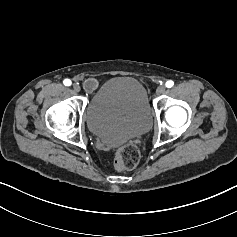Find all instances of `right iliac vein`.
<instances>
[{
    "label": "right iliac vein",
    "instance_id": "right-iliac-vein-1",
    "mask_svg": "<svg viewBox=\"0 0 237 237\" xmlns=\"http://www.w3.org/2000/svg\"><path fill=\"white\" fill-rule=\"evenodd\" d=\"M73 89H74L75 92H80V90H81V88L78 84H74Z\"/></svg>",
    "mask_w": 237,
    "mask_h": 237
}]
</instances>
